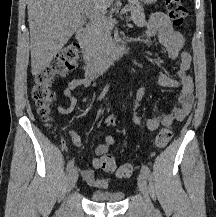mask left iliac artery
Returning a JSON list of instances; mask_svg holds the SVG:
<instances>
[{"mask_svg": "<svg viewBox=\"0 0 216 217\" xmlns=\"http://www.w3.org/2000/svg\"><path fill=\"white\" fill-rule=\"evenodd\" d=\"M141 172L146 176V178H151V171L146 165H142Z\"/></svg>", "mask_w": 216, "mask_h": 217, "instance_id": "obj_1", "label": "left iliac artery"}]
</instances>
